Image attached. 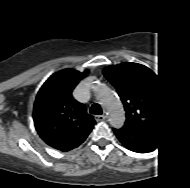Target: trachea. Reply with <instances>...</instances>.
Instances as JSON below:
<instances>
[{"instance_id": "3493384b", "label": "trachea", "mask_w": 190, "mask_h": 188, "mask_svg": "<svg viewBox=\"0 0 190 188\" xmlns=\"http://www.w3.org/2000/svg\"><path fill=\"white\" fill-rule=\"evenodd\" d=\"M90 113L91 114H96V115H101L102 114V109L99 104L94 103L91 108H90Z\"/></svg>"}]
</instances>
